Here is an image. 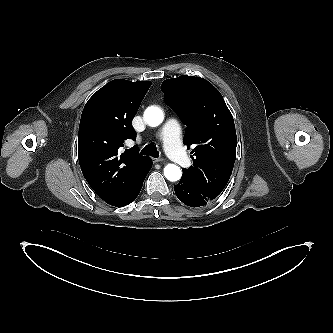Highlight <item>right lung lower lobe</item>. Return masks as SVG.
<instances>
[{"mask_svg":"<svg viewBox=\"0 0 333 333\" xmlns=\"http://www.w3.org/2000/svg\"><path fill=\"white\" fill-rule=\"evenodd\" d=\"M151 166H152V162H151V164L148 166V169H147L145 175L143 176V178H142L141 181L139 182V185H138V187H137V190L135 191L134 195L132 196V198L130 199V201H129L127 204H130L131 202H133V201L136 199V197L138 196V194H139V192H140V190H141V188H142L144 178L146 177L147 173L149 172ZM127 204H126V205H127Z\"/></svg>","mask_w":333,"mask_h":333,"instance_id":"right-lung-lower-lobe-1","label":"right lung lower lobe"}]
</instances>
